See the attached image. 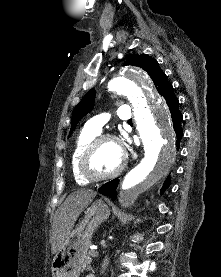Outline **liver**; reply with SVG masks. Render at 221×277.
<instances>
[{
	"instance_id": "liver-1",
	"label": "liver",
	"mask_w": 221,
	"mask_h": 277,
	"mask_svg": "<svg viewBox=\"0 0 221 277\" xmlns=\"http://www.w3.org/2000/svg\"><path fill=\"white\" fill-rule=\"evenodd\" d=\"M97 195L90 189H81L71 193L54 215L51 233L52 254L62 247L69 237L80 213L92 202Z\"/></svg>"
}]
</instances>
